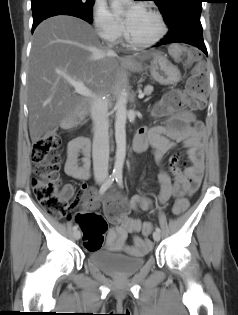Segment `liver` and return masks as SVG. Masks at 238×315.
I'll list each match as a JSON object with an SVG mask.
<instances>
[{"label":"liver","mask_w":238,"mask_h":315,"mask_svg":"<svg viewBox=\"0 0 238 315\" xmlns=\"http://www.w3.org/2000/svg\"><path fill=\"white\" fill-rule=\"evenodd\" d=\"M154 52L135 54L146 61ZM132 58H129L131 60ZM126 62L109 54L94 29L82 19L57 15L35 30L27 73L29 132L32 143L57 124L74 123L91 101L71 93L68 79L81 81L91 91H113Z\"/></svg>","instance_id":"6515ba94"}]
</instances>
